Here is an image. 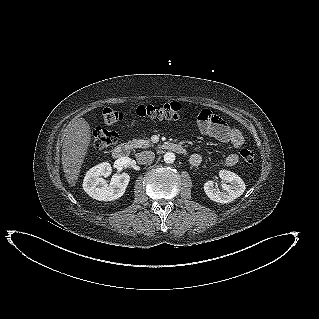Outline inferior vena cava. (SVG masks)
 <instances>
[{
	"mask_svg": "<svg viewBox=\"0 0 319 319\" xmlns=\"http://www.w3.org/2000/svg\"><path fill=\"white\" fill-rule=\"evenodd\" d=\"M155 159V154L152 151H142L136 154V160L141 165L151 164Z\"/></svg>",
	"mask_w": 319,
	"mask_h": 319,
	"instance_id": "obj_1",
	"label": "inferior vena cava"
}]
</instances>
